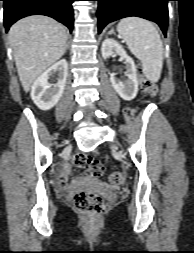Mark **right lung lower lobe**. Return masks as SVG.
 <instances>
[{
    "instance_id": "1",
    "label": "right lung lower lobe",
    "mask_w": 194,
    "mask_h": 253,
    "mask_svg": "<svg viewBox=\"0 0 194 253\" xmlns=\"http://www.w3.org/2000/svg\"><path fill=\"white\" fill-rule=\"evenodd\" d=\"M4 1L6 31L17 20L34 14L46 15L73 29L72 3L75 0H0Z\"/></svg>"
}]
</instances>
